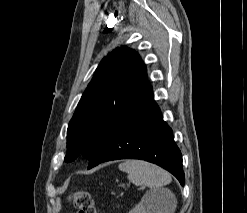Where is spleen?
<instances>
[{
	"label": "spleen",
	"instance_id": "spleen-1",
	"mask_svg": "<svg viewBox=\"0 0 247 213\" xmlns=\"http://www.w3.org/2000/svg\"><path fill=\"white\" fill-rule=\"evenodd\" d=\"M119 169L128 174V179L133 184L148 186L150 188H160L171 182V175L162 168L141 160H127L119 164ZM176 207L174 202L170 213Z\"/></svg>",
	"mask_w": 247,
	"mask_h": 213
}]
</instances>
